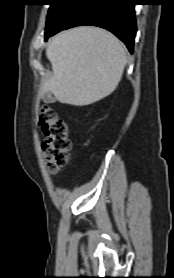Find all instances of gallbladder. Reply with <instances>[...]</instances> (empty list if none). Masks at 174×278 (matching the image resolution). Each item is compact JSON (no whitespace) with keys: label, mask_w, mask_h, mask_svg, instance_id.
Instances as JSON below:
<instances>
[{"label":"gallbladder","mask_w":174,"mask_h":278,"mask_svg":"<svg viewBox=\"0 0 174 278\" xmlns=\"http://www.w3.org/2000/svg\"><path fill=\"white\" fill-rule=\"evenodd\" d=\"M42 98L45 103H53L55 101L51 92H46Z\"/></svg>","instance_id":"gallbladder-1"}]
</instances>
